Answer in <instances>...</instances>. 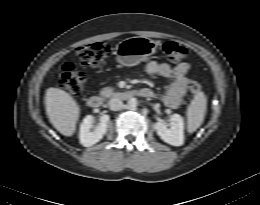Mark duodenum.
Instances as JSON below:
<instances>
[{
  "mask_svg": "<svg viewBox=\"0 0 260 205\" xmlns=\"http://www.w3.org/2000/svg\"><path fill=\"white\" fill-rule=\"evenodd\" d=\"M142 95L141 91H134V90H120L116 91L113 94V97L127 100L131 99L133 97ZM87 104L90 108L97 109L103 106L104 104V98L100 95H91L87 99Z\"/></svg>",
  "mask_w": 260,
  "mask_h": 205,
  "instance_id": "1",
  "label": "duodenum"
}]
</instances>
